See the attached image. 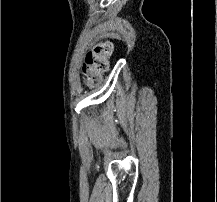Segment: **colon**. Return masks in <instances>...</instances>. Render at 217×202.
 <instances>
[{"label": "colon", "mask_w": 217, "mask_h": 202, "mask_svg": "<svg viewBox=\"0 0 217 202\" xmlns=\"http://www.w3.org/2000/svg\"><path fill=\"white\" fill-rule=\"evenodd\" d=\"M94 47L86 54L82 72L87 84H99L109 70V58L113 52L111 40L94 41Z\"/></svg>", "instance_id": "obj_1"}]
</instances>
